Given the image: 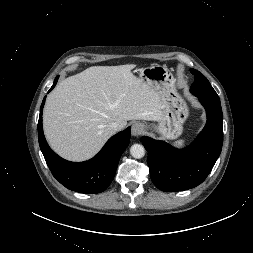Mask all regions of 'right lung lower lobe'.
Segmentation results:
<instances>
[{
	"mask_svg": "<svg viewBox=\"0 0 253 253\" xmlns=\"http://www.w3.org/2000/svg\"><path fill=\"white\" fill-rule=\"evenodd\" d=\"M57 76L51 91L58 80ZM45 103L43 99L38 121V140L46 163L53 176L66 188L85 194H95L105 191L112 182L123 151L130 142L128 127L111 137L102 150L92 159L85 162H70L54 153L46 142L42 128V112Z\"/></svg>",
	"mask_w": 253,
	"mask_h": 253,
	"instance_id": "1",
	"label": "right lung lower lobe"
}]
</instances>
